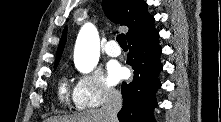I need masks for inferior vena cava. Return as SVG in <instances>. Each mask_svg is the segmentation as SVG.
Returning <instances> with one entry per match:
<instances>
[{
    "instance_id": "obj_1",
    "label": "inferior vena cava",
    "mask_w": 221,
    "mask_h": 122,
    "mask_svg": "<svg viewBox=\"0 0 221 122\" xmlns=\"http://www.w3.org/2000/svg\"><path fill=\"white\" fill-rule=\"evenodd\" d=\"M122 106V96L117 90L110 88L104 91V105L102 107V112L106 118L107 122H117V114Z\"/></svg>"
}]
</instances>
